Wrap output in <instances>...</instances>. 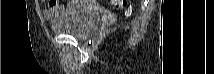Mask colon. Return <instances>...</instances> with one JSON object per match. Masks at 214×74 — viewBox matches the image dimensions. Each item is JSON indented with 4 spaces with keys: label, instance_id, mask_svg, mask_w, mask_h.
<instances>
[{
    "label": "colon",
    "instance_id": "colon-1",
    "mask_svg": "<svg viewBox=\"0 0 214 74\" xmlns=\"http://www.w3.org/2000/svg\"><path fill=\"white\" fill-rule=\"evenodd\" d=\"M56 1H51V3H55ZM112 7L117 9H122L126 6L127 1L126 0H111L107 1Z\"/></svg>",
    "mask_w": 214,
    "mask_h": 74
}]
</instances>
